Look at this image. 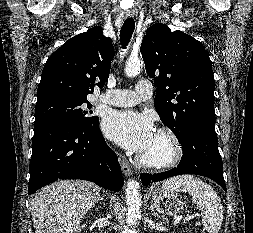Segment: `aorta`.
I'll list each match as a JSON object with an SVG mask.
<instances>
[{
	"mask_svg": "<svg viewBox=\"0 0 253 233\" xmlns=\"http://www.w3.org/2000/svg\"><path fill=\"white\" fill-rule=\"evenodd\" d=\"M142 63L139 59H130L125 66V73L128 77H135L140 73ZM126 200L128 205L127 223L134 225L140 218L141 197L139 183L129 180L126 188Z\"/></svg>",
	"mask_w": 253,
	"mask_h": 233,
	"instance_id": "1",
	"label": "aorta"
}]
</instances>
